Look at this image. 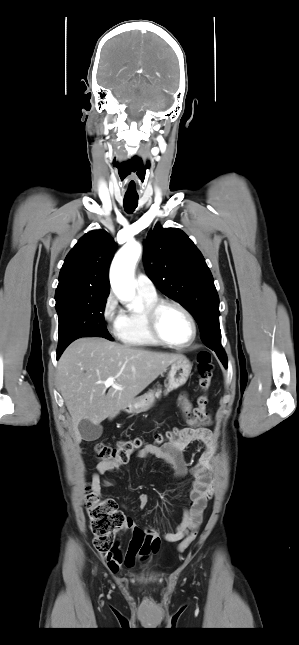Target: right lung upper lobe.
I'll return each instance as SVG.
<instances>
[{"instance_id": "obj_1", "label": "right lung upper lobe", "mask_w": 299, "mask_h": 645, "mask_svg": "<svg viewBox=\"0 0 299 645\" xmlns=\"http://www.w3.org/2000/svg\"><path fill=\"white\" fill-rule=\"evenodd\" d=\"M116 244L104 230L85 234L67 255L59 274L56 304L73 296L109 294L108 269Z\"/></svg>"}]
</instances>
